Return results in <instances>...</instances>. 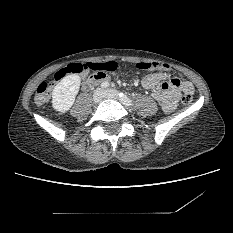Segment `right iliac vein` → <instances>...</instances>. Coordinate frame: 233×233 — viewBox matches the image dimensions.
<instances>
[{"mask_svg":"<svg viewBox=\"0 0 233 233\" xmlns=\"http://www.w3.org/2000/svg\"><path fill=\"white\" fill-rule=\"evenodd\" d=\"M102 98H103V90L97 89L93 94V102L99 103L102 100Z\"/></svg>","mask_w":233,"mask_h":233,"instance_id":"obj_1","label":"right iliac vein"}]
</instances>
